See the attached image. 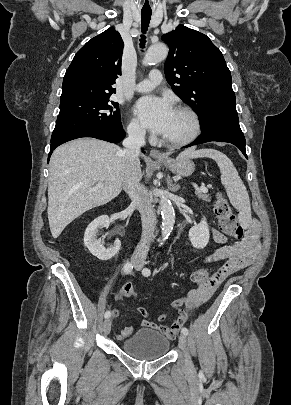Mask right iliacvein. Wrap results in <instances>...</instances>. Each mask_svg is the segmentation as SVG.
<instances>
[{
  "label": "right iliac vein",
  "mask_w": 291,
  "mask_h": 405,
  "mask_svg": "<svg viewBox=\"0 0 291 405\" xmlns=\"http://www.w3.org/2000/svg\"><path fill=\"white\" fill-rule=\"evenodd\" d=\"M134 265L137 266L138 264H137L136 262H134ZM103 330H104V333H105L106 335L110 333V330H111V321H110V319L107 318V319L104 321V323H103Z\"/></svg>",
  "instance_id": "1"
}]
</instances>
